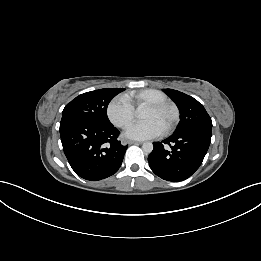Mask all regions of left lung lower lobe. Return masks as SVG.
<instances>
[{"instance_id":"obj_1","label":"left lung lower lobe","mask_w":261,"mask_h":261,"mask_svg":"<svg viewBox=\"0 0 261 261\" xmlns=\"http://www.w3.org/2000/svg\"><path fill=\"white\" fill-rule=\"evenodd\" d=\"M211 134L212 127H197L174 132L162 142H154L153 151L148 156L151 170L167 181L189 178L201 165Z\"/></svg>"}]
</instances>
